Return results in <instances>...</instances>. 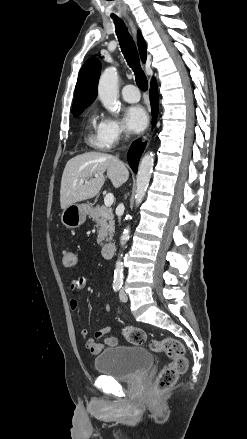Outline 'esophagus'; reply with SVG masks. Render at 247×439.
I'll return each mask as SVG.
<instances>
[{"instance_id":"34e87169","label":"esophagus","mask_w":247,"mask_h":439,"mask_svg":"<svg viewBox=\"0 0 247 439\" xmlns=\"http://www.w3.org/2000/svg\"><path fill=\"white\" fill-rule=\"evenodd\" d=\"M128 22H129V25H130V28H131L133 34L136 35V27H135L133 21L130 18H128Z\"/></svg>"}]
</instances>
